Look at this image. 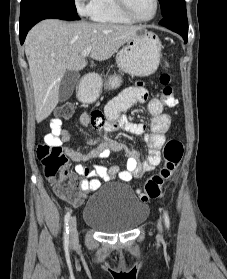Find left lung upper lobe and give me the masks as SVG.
<instances>
[{
	"instance_id": "obj_1",
	"label": "left lung upper lobe",
	"mask_w": 227,
	"mask_h": 279,
	"mask_svg": "<svg viewBox=\"0 0 227 279\" xmlns=\"http://www.w3.org/2000/svg\"><path fill=\"white\" fill-rule=\"evenodd\" d=\"M163 17L172 14H185V0H159Z\"/></svg>"
}]
</instances>
